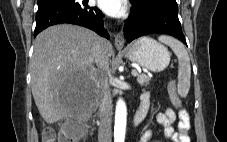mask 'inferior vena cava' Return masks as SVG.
Masks as SVG:
<instances>
[{
	"label": "inferior vena cava",
	"instance_id": "inferior-vena-cava-1",
	"mask_svg": "<svg viewBox=\"0 0 227 142\" xmlns=\"http://www.w3.org/2000/svg\"><path fill=\"white\" fill-rule=\"evenodd\" d=\"M93 60L97 66L94 76L98 86L101 89L103 98L106 96L105 89L107 88L106 76L109 71L108 56L104 52L101 44L95 42L93 45ZM100 125L98 130V142H111V115L108 105L102 100L99 111Z\"/></svg>",
	"mask_w": 227,
	"mask_h": 142
}]
</instances>
